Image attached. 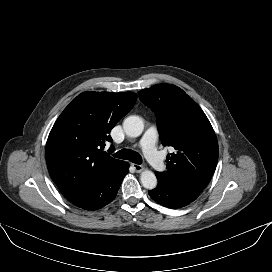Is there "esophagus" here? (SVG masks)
<instances>
[{"instance_id": "obj_1", "label": "esophagus", "mask_w": 272, "mask_h": 272, "mask_svg": "<svg viewBox=\"0 0 272 272\" xmlns=\"http://www.w3.org/2000/svg\"><path fill=\"white\" fill-rule=\"evenodd\" d=\"M132 167L135 169L136 172H141L144 169L142 165L135 164V163H132Z\"/></svg>"}]
</instances>
